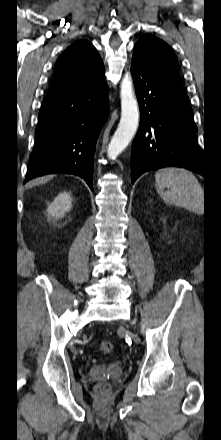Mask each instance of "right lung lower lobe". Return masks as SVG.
Returning a JSON list of instances; mask_svg holds the SVG:
<instances>
[{
    "label": "right lung lower lobe",
    "instance_id": "1",
    "mask_svg": "<svg viewBox=\"0 0 221 440\" xmlns=\"http://www.w3.org/2000/svg\"><path fill=\"white\" fill-rule=\"evenodd\" d=\"M108 115L106 82L92 89L47 95L24 183L45 174L69 173L93 189L95 145Z\"/></svg>",
    "mask_w": 221,
    "mask_h": 440
}]
</instances>
